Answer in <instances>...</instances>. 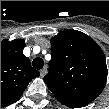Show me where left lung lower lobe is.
<instances>
[{"label": "left lung lower lobe", "mask_w": 109, "mask_h": 109, "mask_svg": "<svg viewBox=\"0 0 109 109\" xmlns=\"http://www.w3.org/2000/svg\"><path fill=\"white\" fill-rule=\"evenodd\" d=\"M62 104H64V105H66V106H69V107H73V108H78L79 106H77V105H73V104H71V103H68V102H66V101H60Z\"/></svg>", "instance_id": "left-lung-lower-lobe-1"}]
</instances>
